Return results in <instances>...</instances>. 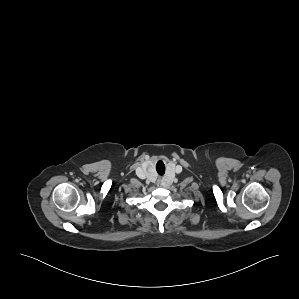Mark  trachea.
I'll use <instances>...</instances> for the list:
<instances>
[{"label": "trachea", "instance_id": "obj_1", "mask_svg": "<svg viewBox=\"0 0 299 299\" xmlns=\"http://www.w3.org/2000/svg\"><path fill=\"white\" fill-rule=\"evenodd\" d=\"M157 172H158L159 175H164V173H165V167H162V168L157 167Z\"/></svg>", "mask_w": 299, "mask_h": 299}]
</instances>
